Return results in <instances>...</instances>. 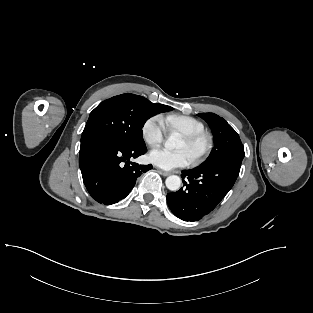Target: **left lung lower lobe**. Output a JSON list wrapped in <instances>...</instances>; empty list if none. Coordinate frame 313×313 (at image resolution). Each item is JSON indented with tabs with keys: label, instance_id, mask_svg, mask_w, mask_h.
<instances>
[{
	"label": "left lung lower lobe",
	"instance_id": "0a47b994",
	"mask_svg": "<svg viewBox=\"0 0 313 313\" xmlns=\"http://www.w3.org/2000/svg\"><path fill=\"white\" fill-rule=\"evenodd\" d=\"M239 160L219 161L184 170V188L167 194L169 208L184 221H198L210 213L234 185L240 171Z\"/></svg>",
	"mask_w": 313,
	"mask_h": 313
}]
</instances>
